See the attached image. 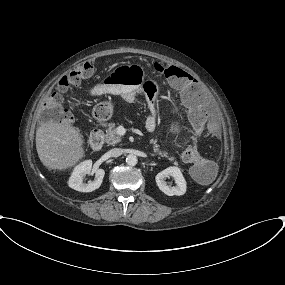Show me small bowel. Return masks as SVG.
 Returning <instances> with one entry per match:
<instances>
[{
  "mask_svg": "<svg viewBox=\"0 0 285 285\" xmlns=\"http://www.w3.org/2000/svg\"><path fill=\"white\" fill-rule=\"evenodd\" d=\"M186 81L187 80L185 78H182L183 83H185ZM102 92L120 94L123 97V99L128 103H133L139 94H144L150 109H153L156 106V99L148 97L145 91L140 87V85H136L133 83L112 88L104 87L102 88ZM155 126H156L155 116L150 111L147 115L145 129L148 132H152L155 129Z\"/></svg>",
  "mask_w": 285,
  "mask_h": 285,
  "instance_id": "small-bowel-1",
  "label": "small bowel"
}]
</instances>
